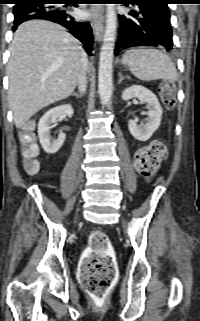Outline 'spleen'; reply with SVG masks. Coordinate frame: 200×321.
I'll return each instance as SVG.
<instances>
[{
    "instance_id": "spleen-1",
    "label": "spleen",
    "mask_w": 200,
    "mask_h": 321,
    "mask_svg": "<svg viewBox=\"0 0 200 321\" xmlns=\"http://www.w3.org/2000/svg\"><path fill=\"white\" fill-rule=\"evenodd\" d=\"M131 73L142 81L165 79L176 81L178 74L170 57L157 49L134 48L128 50L122 59Z\"/></svg>"
}]
</instances>
